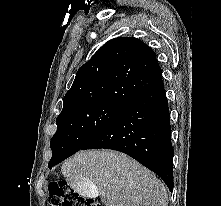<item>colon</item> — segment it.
Returning a JSON list of instances; mask_svg holds the SVG:
<instances>
[{
	"label": "colon",
	"instance_id": "colon-1",
	"mask_svg": "<svg viewBox=\"0 0 221 206\" xmlns=\"http://www.w3.org/2000/svg\"><path fill=\"white\" fill-rule=\"evenodd\" d=\"M48 206H101L91 199L80 198L66 181H54L48 186Z\"/></svg>",
	"mask_w": 221,
	"mask_h": 206
}]
</instances>
